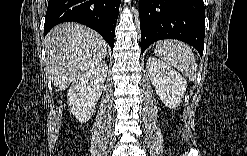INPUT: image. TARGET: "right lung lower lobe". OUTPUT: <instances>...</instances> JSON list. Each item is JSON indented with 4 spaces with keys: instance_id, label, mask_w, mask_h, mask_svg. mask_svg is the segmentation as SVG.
I'll list each match as a JSON object with an SVG mask.
<instances>
[{
    "instance_id": "obj_1",
    "label": "right lung lower lobe",
    "mask_w": 247,
    "mask_h": 156,
    "mask_svg": "<svg viewBox=\"0 0 247 156\" xmlns=\"http://www.w3.org/2000/svg\"><path fill=\"white\" fill-rule=\"evenodd\" d=\"M120 0H49L44 36L57 24L67 21L97 31L113 50Z\"/></svg>"
}]
</instances>
